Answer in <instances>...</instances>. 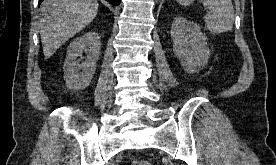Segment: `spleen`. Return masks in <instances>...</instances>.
<instances>
[{
  "mask_svg": "<svg viewBox=\"0 0 276 165\" xmlns=\"http://www.w3.org/2000/svg\"><path fill=\"white\" fill-rule=\"evenodd\" d=\"M181 5H189L194 0H176ZM209 10L205 15L207 28L214 34H221L232 29L234 8L231 0H200Z\"/></svg>",
  "mask_w": 276,
  "mask_h": 165,
  "instance_id": "3e777b00",
  "label": "spleen"
}]
</instances>
